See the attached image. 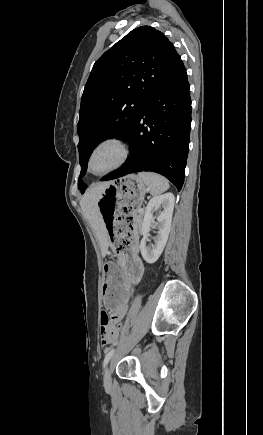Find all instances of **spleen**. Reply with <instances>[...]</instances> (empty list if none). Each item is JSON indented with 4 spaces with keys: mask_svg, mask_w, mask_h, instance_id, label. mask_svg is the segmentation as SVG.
Here are the masks:
<instances>
[{
    "mask_svg": "<svg viewBox=\"0 0 263 435\" xmlns=\"http://www.w3.org/2000/svg\"><path fill=\"white\" fill-rule=\"evenodd\" d=\"M138 178L148 187L152 195L163 193L169 188L167 179L153 172H140Z\"/></svg>",
    "mask_w": 263,
    "mask_h": 435,
    "instance_id": "spleen-1",
    "label": "spleen"
}]
</instances>
